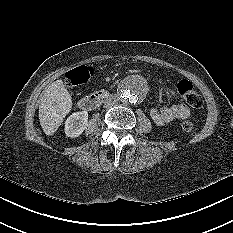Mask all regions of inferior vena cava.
<instances>
[{
	"label": "inferior vena cava",
	"instance_id": "obj_1",
	"mask_svg": "<svg viewBox=\"0 0 233 233\" xmlns=\"http://www.w3.org/2000/svg\"><path fill=\"white\" fill-rule=\"evenodd\" d=\"M118 101H119L118 96L115 94H112L104 100V104L107 106H113V105L117 104Z\"/></svg>",
	"mask_w": 233,
	"mask_h": 233
}]
</instances>
